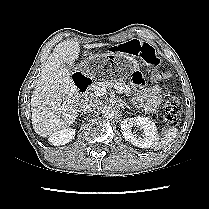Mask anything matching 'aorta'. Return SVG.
I'll return each mask as SVG.
<instances>
[{"instance_id":"1","label":"aorta","mask_w":209,"mask_h":209,"mask_svg":"<svg viewBox=\"0 0 209 209\" xmlns=\"http://www.w3.org/2000/svg\"><path fill=\"white\" fill-rule=\"evenodd\" d=\"M117 109L113 106H105L102 110V115L107 120H112L117 116Z\"/></svg>"}]
</instances>
